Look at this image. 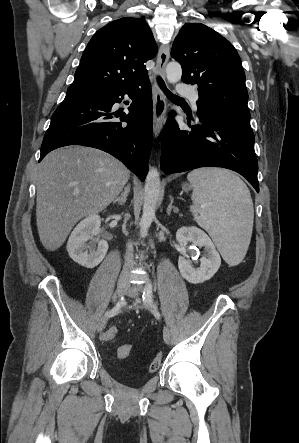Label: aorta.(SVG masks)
Listing matches in <instances>:
<instances>
[{
  "label": "aorta",
  "instance_id": "obj_1",
  "mask_svg": "<svg viewBox=\"0 0 299 443\" xmlns=\"http://www.w3.org/2000/svg\"><path fill=\"white\" fill-rule=\"evenodd\" d=\"M166 75L169 83H177L182 76L181 65L170 62L166 67ZM160 194V176L156 168H151L147 174L144 188L143 213L140 220V228L143 235L147 234L152 221L155 219V210Z\"/></svg>",
  "mask_w": 299,
  "mask_h": 443
}]
</instances>
